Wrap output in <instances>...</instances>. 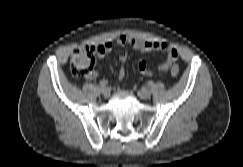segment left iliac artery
<instances>
[{
  "instance_id": "44dca946",
  "label": "left iliac artery",
  "mask_w": 243,
  "mask_h": 167,
  "mask_svg": "<svg viewBox=\"0 0 243 167\" xmlns=\"http://www.w3.org/2000/svg\"><path fill=\"white\" fill-rule=\"evenodd\" d=\"M148 85L152 86L153 85V81H148Z\"/></svg>"
}]
</instances>
